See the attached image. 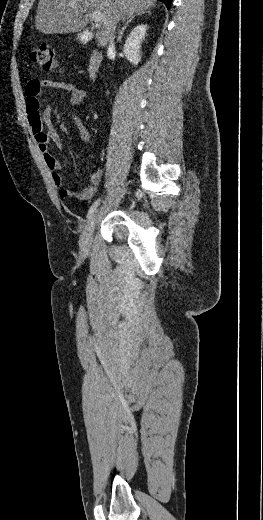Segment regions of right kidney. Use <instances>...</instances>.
<instances>
[{
  "instance_id": "obj_1",
  "label": "right kidney",
  "mask_w": 263,
  "mask_h": 520,
  "mask_svg": "<svg viewBox=\"0 0 263 520\" xmlns=\"http://www.w3.org/2000/svg\"><path fill=\"white\" fill-rule=\"evenodd\" d=\"M147 25L141 24L136 26L126 39L123 47V52L126 58L133 65H138L141 60L140 46L142 40L145 38Z\"/></svg>"
}]
</instances>
